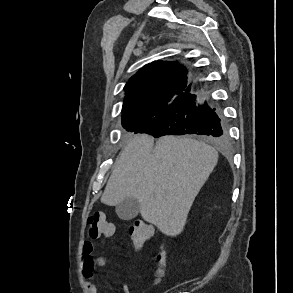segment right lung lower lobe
<instances>
[{"label":"right lung lower lobe","mask_w":293,"mask_h":293,"mask_svg":"<svg viewBox=\"0 0 293 293\" xmlns=\"http://www.w3.org/2000/svg\"><path fill=\"white\" fill-rule=\"evenodd\" d=\"M216 108L208 105L202 94H195L189 85L165 111L138 128L135 133L163 135L197 134L227 139V128Z\"/></svg>","instance_id":"right-lung-lower-lobe-1"}]
</instances>
